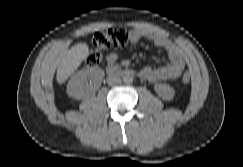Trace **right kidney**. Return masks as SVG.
I'll list each match as a JSON object with an SVG mask.
<instances>
[{
  "label": "right kidney",
  "mask_w": 243,
  "mask_h": 167,
  "mask_svg": "<svg viewBox=\"0 0 243 167\" xmlns=\"http://www.w3.org/2000/svg\"><path fill=\"white\" fill-rule=\"evenodd\" d=\"M104 71L86 68L77 72L67 85V94L74 99H83L93 94L102 83Z\"/></svg>",
  "instance_id": "obj_1"
}]
</instances>
